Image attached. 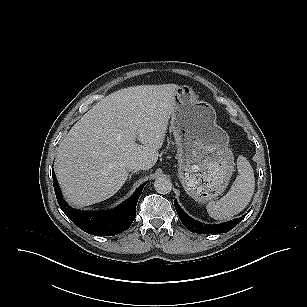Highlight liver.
<instances>
[{
    "label": "liver",
    "instance_id": "6515ba94",
    "mask_svg": "<svg viewBox=\"0 0 307 307\" xmlns=\"http://www.w3.org/2000/svg\"><path fill=\"white\" fill-rule=\"evenodd\" d=\"M178 88L164 84L118 90L74 124L59 144L54 167L68 203L83 207L116 194L128 178V161L144 163V170L156 164Z\"/></svg>",
    "mask_w": 307,
    "mask_h": 307
}]
</instances>
